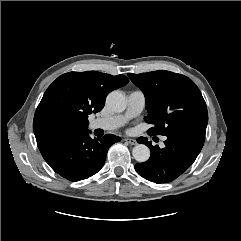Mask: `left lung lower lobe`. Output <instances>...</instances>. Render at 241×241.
Segmentation results:
<instances>
[{"mask_svg":"<svg viewBox=\"0 0 241 241\" xmlns=\"http://www.w3.org/2000/svg\"><path fill=\"white\" fill-rule=\"evenodd\" d=\"M205 133L197 130L168 135L162 149L144 140L151 148V155L146 162L136 164L135 170L145 179L158 184L177 179L194 163L203 147Z\"/></svg>","mask_w":241,"mask_h":241,"instance_id":"0a47b994","label":"left lung lower lobe"}]
</instances>
